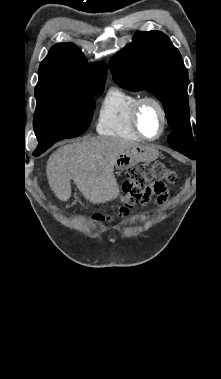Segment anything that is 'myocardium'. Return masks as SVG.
<instances>
[{
    "mask_svg": "<svg viewBox=\"0 0 221 379\" xmlns=\"http://www.w3.org/2000/svg\"><path fill=\"white\" fill-rule=\"evenodd\" d=\"M147 104L154 105L158 109V112L160 114L161 127H160L159 132L155 136L146 135L140 127V122H139L140 113H141L142 108ZM131 123H132L134 131L138 134V136L140 138H142L144 140H148V141H153V140L159 139L163 135V133L165 132V129L167 126V115H166V111H165V108H164L162 102L159 99H157L155 97H151V96H146V97L140 98L136 102V104L133 106V109L131 112Z\"/></svg>",
    "mask_w": 221,
    "mask_h": 379,
    "instance_id": "1",
    "label": "myocardium"
}]
</instances>
